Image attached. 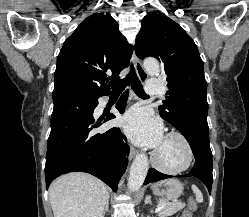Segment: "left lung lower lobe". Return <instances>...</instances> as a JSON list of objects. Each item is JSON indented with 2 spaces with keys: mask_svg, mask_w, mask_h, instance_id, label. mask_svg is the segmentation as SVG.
<instances>
[{
  "mask_svg": "<svg viewBox=\"0 0 249 217\" xmlns=\"http://www.w3.org/2000/svg\"><path fill=\"white\" fill-rule=\"evenodd\" d=\"M189 142L195 156L193 170L182 176H193L200 179L211 193L212 186V152L209 144V127L207 118L191 117L186 119L181 129H178ZM172 176L158 172L155 169L148 171L144 185L170 178Z\"/></svg>",
  "mask_w": 249,
  "mask_h": 217,
  "instance_id": "1",
  "label": "left lung lower lobe"
}]
</instances>
